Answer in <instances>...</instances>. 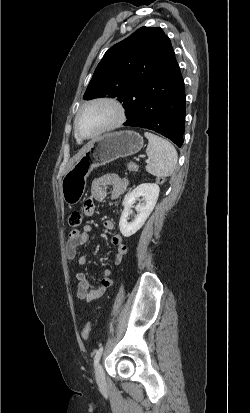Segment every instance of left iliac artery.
<instances>
[{
    "mask_svg": "<svg viewBox=\"0 0 250 413\" xmlns=\"http://www.w3.org/2000/svg\"><path fill=\"white\" fill-rule=\"evenodd\" d=\"M102 352H103V347H100V348L96 351V354H95V357H94V366H96V365L98 364V362H99V360H100V357H101V355H102Z\"/></svg>",
    "mask_w": 250,
    "mask_h": 413,
    "instance_id": "44dca946",
    "label": "left iliac artery"
}]
</instances>
